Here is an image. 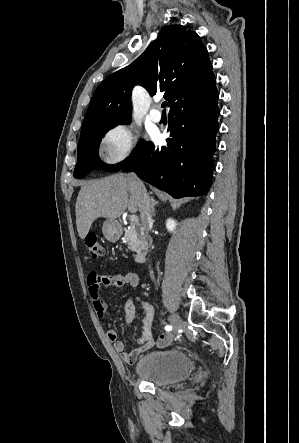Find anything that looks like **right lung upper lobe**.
<instances>
[{
  "label": "right lung upper lobe",
  "mask_w": 299,
  "mask_h": 443,
  "mask_svg": "<svg viewBox=\"0 0 299 443\" xmlns=\"http://www.w3.org/2000/svg\"><path fill=\"white\" fill-rule=\"evenodd\" d=\"M211 73L208 51L199 36L182 25L167 26L132 64L98 86L80 137L97 128L131 120V90L135 84L143 86L151 96L165 91L164 98L171 106Z\"/></svg>",
  "instance_id": "right-lung-upper-lobe-1"
}]
</instances>
